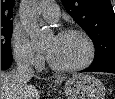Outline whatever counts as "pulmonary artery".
<instances>
[{
  "label": "pulmonary artery",
  "instance_id": "pulmonary-artery-1",
  "mask_svg": "<svg viewBox=\"0 0 115 99\" xmlns=\"http://www.w3.org/2000/svg\"><path fill=\"white\" fill-rule=\"evenodd\" d=\"M42 16L49 22H56L59 19L60 11L55 3L46 2L41 10Z\"/></svg>",
  "mask_w": 115,
  "mask_h": 99
}]
</instances>
